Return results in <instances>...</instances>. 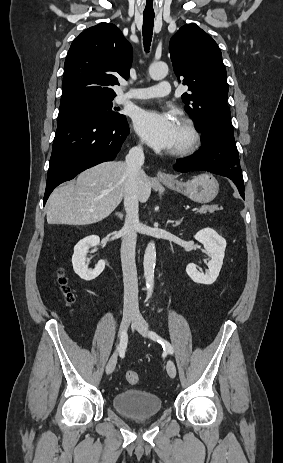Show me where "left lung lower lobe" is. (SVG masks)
<instances>
[{
  "label": "left lung lower lobe",
  "mask_w": 283,
  "mask_h": 463,
  "mask_svg": "<svg viewBox=\"0 0 283 463\" xmlns=\"http://www.w3.org/2000/svg\"><path fill=\"white\" fill-rule=\"evenodd\" d=\"M175 169L179 172L208 171L228 177L238 187L244 198V181L237 148L218 139H202L200 151L191 157L178 159Z\"/></svg>",
  "instance_id": "0a47b994"
}]
</instances>
